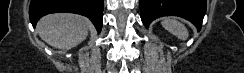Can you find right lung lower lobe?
Segmentation results:
<instances>
[{"label":"right lung lower lobe","instance_id":"obj_1","mask_svg":"<svg viewBox=\"0 0 244 73\" xmlns=\"http://www.w3.org/2000/svg\"><path fill=\"white\" fill-rule=\"evenodd\" d=\"M55 12H70L87 16L98 33L103 24V0H31L29 17L33 27L44 15Z\"/></svg>","mask_w":244,"mask_h":73}]
</instances>
